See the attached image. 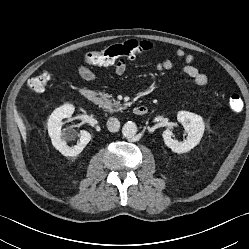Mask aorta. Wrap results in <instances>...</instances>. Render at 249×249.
Returning a JSON list of instances; mask_svg holds the SVG:
<instances>
[{
  "label": "aorta",
  "instance_id": "obj_1",
  "mask_svg": "<svg viewBox=\"0 0 249 249\" xmlns=\"http://www.w3.org/2000/svg\"><path fill=\"white\" fill-rule=\"evenodd\" d=\"M137 133V125L132 122L128 121L127 123L124 124L122 128V134L125 138H132L136 135Z\"/></svg>",
  "mask_w": 249,
  "mask_h": 249
}]
</instances>
